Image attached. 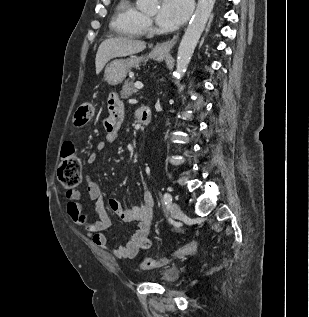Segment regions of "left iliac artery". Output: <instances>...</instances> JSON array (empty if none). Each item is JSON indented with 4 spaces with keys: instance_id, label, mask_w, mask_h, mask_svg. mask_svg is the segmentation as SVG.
Here are the masks:
<instances>
[{
    "instance_id": "1",
    "label": "left iliac artery",
    "mask_w": 309,
    "mask_h": 317,
    "mask_svg": "<svg viewBox=\"0 0 309 317\" xmlns=\"http://www.w3.org/2000/svg\"><path fill=\"white\" fill-rule=\"evenodd\" d=\"M163 201L165 204H170L172 202V196L170 193L166 192L163 196Z\"/></svg>"
}]
</instances>
